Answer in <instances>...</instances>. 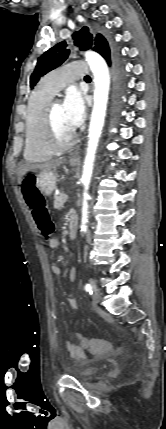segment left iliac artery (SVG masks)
I'll list each match as a JSON object with an SVG mask.
<instances>
[{
	"label": "left iliac artery",
	"instance_id": "left-iliac-artery-1",
	"mask_svg": "<svg viewBox=\"0 0 166 429\" xmlns=\"http://www.w3.org/2000/svg\"><path fill=\"white\" fill-rule=\"evenodd\" d=\"M93 290H94V288H93V286H92L91 284H86V285H85V291H86V292H88V293L92 294V293H93Z\"/></svg>",
	"mask_w": 166,
	"mask_h": 429
}]
</instances>
